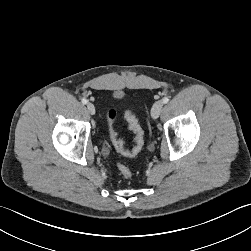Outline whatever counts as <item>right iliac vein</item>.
I'll use <instances>...</instances> for the list:
<instances>
[{
    "label": "right iliac vein",
    "instance_id": "63e3f726",
    "mask_svg": "<svg viewBox=\"0 0 251 251\" xmlns=\"http://www.w3.org/2000/svg\"><path fill=\"white\" fill-rule=\"evenodd\" d=\"M87 110L91 115L95 114V107L92 103H87Z\"/></svg>",
    "mask_w": 251,
    "mask_h": 251
}]
</instances>
